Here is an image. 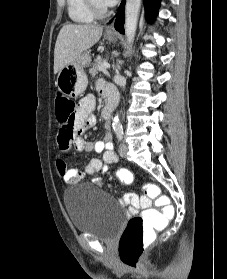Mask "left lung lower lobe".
<instances>
[{"label":"left lung lower lobe","mask_w":227,"mask_h":279,"mask_svg":"<svg viewBox=\"0 0 227 279\" xmlns=\"http://www.w3.org/2000/svg\"><path fill=\"white\" fill-rule=\"evenodd\" d=\"M160 1L161 0H144L145 11L148 20H153L154 17L157 15ZM124 5H125V0H123L120 4V7L116 15V20L114 23L115 29L123 34H124L123 26H124V19H125Z\"/></svg>","instance_id":"0a47b994"}]
</instances>
